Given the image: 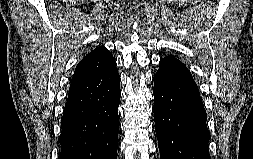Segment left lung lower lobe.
<instances>
[{
    "label": "left lung lower lobe",
    "instance_id": "obj_1",
    "mask_svg": "<svg viewBox=\"0 0 253 159\" xmlns=\"http://www.w3.org/2000/svg\"><path fill=\"white\" fill-rule=\"evenodd\" d=\"M153 80L160 159H211L207 115L190 71L169 55L160 60Z\"/></svg>",
    "mask_w": 253,
    "mask_h": 159
}]
</instances>
